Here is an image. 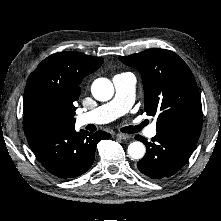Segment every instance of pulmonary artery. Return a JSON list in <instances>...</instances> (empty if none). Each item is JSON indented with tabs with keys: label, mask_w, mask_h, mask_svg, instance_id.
Listing matches in <instances>:
<instances>
[{
	"label": "pulmonary artery",
	"mask_w": 221,
	"mask_h": 221,
	"mask_svg": "<svg viewBox=\"0 0 221 221\" xmlns=\"http://www.w3.org/2000/svg\"><path fill=\"white\" fill-rule=\"evenodd\" d=\"M113 84L115 87L114 98L90 112L79 115L77 117L79 125L107 123L128 111L135 96L136 80L134 75L131 73L118 74L114 76ZM156 133L155 124H151L146 130V135L150 138L154 137Z\"/></svg>",
	"instance_id": "obj_1"
}]
</instances>
